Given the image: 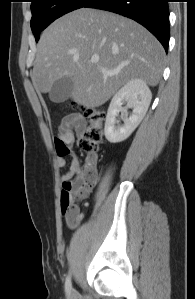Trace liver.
<instances>
[{
	"instance_id": "1",
	"label": "liver",
	"mask_w": 195,
	"mask_h": 299,
	"mask_svg": "<svg viewBox=\"0 0 195 299\" xmlns=\"http://www.w3.org/2000/svg\"><path fill=\"white\" fill-rule=\"evenodd\" d=\"M94 56L98 63L91 62ZM164 57L159 41L137 22L85 7L60 17L43 32L31 79L37 92L47 93L55 81L70 77L72 100L93 109L130 80L157 85Z\"/></svg>"
}]
</instances>
